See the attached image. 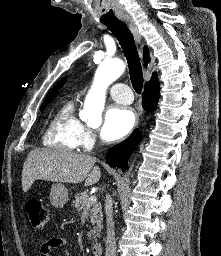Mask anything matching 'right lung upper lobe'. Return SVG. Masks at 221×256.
<instances>
[{
	"instance_id": "1",
	"label": "right lung upper lobe",
	"mask_w": 221,
	"mask_h": 256,
	"mask_svg": "<svg viewBox=\"0 0 221 256\" xmlns=\"http://www.w3.org/2000/svg\"><path fill=\"white\" fill-rule=\"evenodd\" d=\"M144 66L146 67L147 64L149 63L150 61V58H149V55H148V49L147 47H144ZM66 82V78H63L50 92V94L46 97V99L52 95H55L58 91V89L62 88L63 85L65 84ZM152 86H159V82H158V78H157V75L156 73H153L152 75V78L149 82L146 83L145 87H152Z\"/></svg>"
}]
</instances>
